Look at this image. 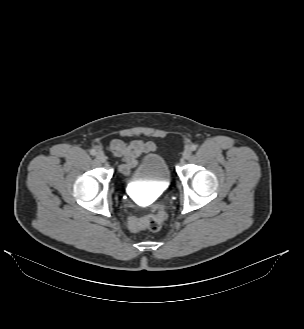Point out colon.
Segmentation results:
<instances>
[{
	"instance_id": "colon-1",
	"label": "colon",
	"mask_w": 304,
	"mask_h": 329,
	"mask_svg": "<svg viewBox=\"0 0 304 329\" xmlns=\"http://www.w3.org/2000/svg\"><path fill=\"white\" fill-rule=\"evenodd\" d=\"M166 212L163 203H158L154 208V213L147 214L144 217L130 215L127 218V226L131 231H140L148 229L150 231H159L166 219Z\"/></svg>"
}]
</instances>
